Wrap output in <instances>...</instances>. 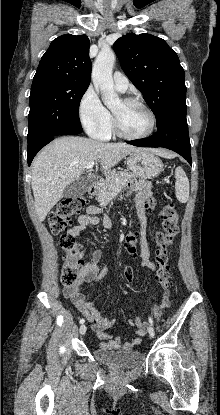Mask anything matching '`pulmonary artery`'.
Listing matches in <instances>:
<instances>
[{
	"instance_id": "pulmonary-artery-1",
	"label": "pulmonary artery",
	"mask_w": 220,
	"mask_h": 415,
	"mask_svg": "<svg viewBox=\"0 0 220 415\" xmlns=\"http://www.w3.org/2000/svg\"><path fill=\"white\" fill-rule=\"evenodd\" d=\"M113 81L117 91L121 93L126 92L129 86V80L124 74L120 72H115L113 74Z\"/></svg>"
}]
</instances>
